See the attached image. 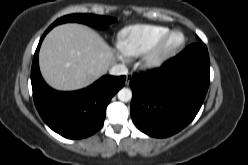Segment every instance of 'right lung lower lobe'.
I'll list each match as a JSON object with an SVG mask.
<instances>
[{
	"mask_svg": "<svg viewBox=\"0 0 248 165\" xmlns=\"http://www.w3.org/2000/svg\"><path fill=\"white\" fill-rule=\"evenodd\" d=\"M43 34L35 51L31 83L35 106L43 121L55 132L70 139L88 137L104 123L106 107L114 94L123 87L125 76H103L91 86L74 92H59L43 80L38 64V54Z\"/></svg>",
	"mask_w": 248,
	"mask_h": 165,
	"instance_id": "obj_1",
	"label": "right lung lower lobe"
}]
</instances>
